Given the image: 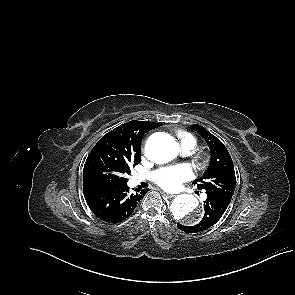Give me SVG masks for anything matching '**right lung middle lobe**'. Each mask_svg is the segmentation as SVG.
Wrapping results in <instances>:
<instances>
[{
	"instance_id": "dd1d6c3e",
	"label": "right lung middle lobe",
	"mask_w": 295,
	"mask_h": 295,
	"mask_svg": "<svg viewBox=\"0 0 295 295\" xmlns=\"http://www.w3.org/2000/svg\"><path fill=\"white\" fill-rule=\"evenodd\" d=\"M140 163V152L116 140L100 139L89 153L83 170V187L127 184L130 166Z\"/></svg>"
}]
</instances>
